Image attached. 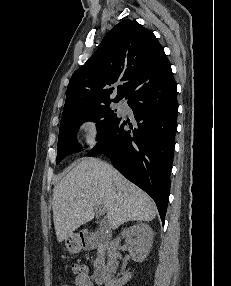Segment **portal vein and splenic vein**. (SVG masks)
I'll return each mask as SVG.
<instances>
[{"instance_id":"1","label":"portal vein and splenic vein","mask_w":231,"mask_h":286,"mask_svg":"<svg viewBox=\"0 0 231 286\" xmlns=\"http://www.w3.org/2000/svg\"><path fill=\"white\" fill-rule=\"evenodd\" d=\"M95 211L100 216L105 214V209L103 207H95Z\"/></svg>"}]
</instances>
